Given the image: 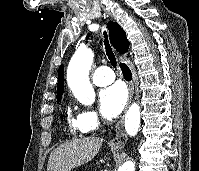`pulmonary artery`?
<instances>
[{
    "mask_svg": "<svg viewBox=\"0 0 199 171\" xmlns=\"http://www.w3.org/2000/svg\"><path fill=\"white\" fill-rule=\"evenodd\" d=\"M115 75L107 66H101L96 69L92 76V82L97 86H105L113 82Z\"/></svg>",
    "mask_w": 199,
    "mask_h": 171,
    "instance_id": "obj_1",
    "label": "pulmonary artery"
}]
</instances>
